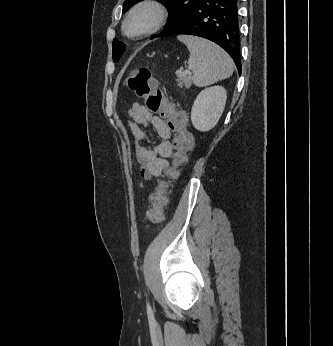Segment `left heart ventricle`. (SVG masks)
Here are the masks:
<instances>
[{
	"label": "left heart ventricle",
	"instance_id": "1",
	"mask_svg": "<svg viewBox=\"0 0 333 346\" xmlns=\"http://www.w3.org/2000/svg\"><path fill=\"white\" fill-rule=\"evenodd\" d=\"M155 19V13L150 9L138 11L128 22L129 33H137L150 27Z\"/></svg>",
	"mask_w": 333,
	"mask_h": 346
}]
</instances>
